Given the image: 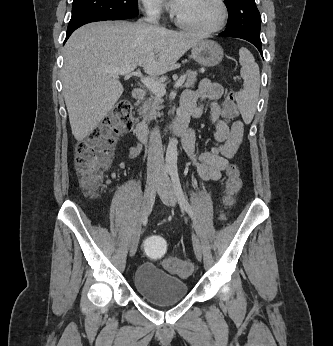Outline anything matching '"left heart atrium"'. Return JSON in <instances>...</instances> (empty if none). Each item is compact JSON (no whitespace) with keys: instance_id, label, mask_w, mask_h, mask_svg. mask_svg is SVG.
Listing matches in <instances>:
<instances>
[{"instance_id":"obj_1","label":"left heart atrium","mask_w":333,"mask_h":346,"mask_svg":"<svg viewBox=\"0 0 333 346\" xmlns=\"http://www.w3.org/2000/svg\"><path fill=\"white\" fill-rule=\"evenodd\" d=\"M185 0H168V3L171 9L175 12H178L183 6Z\"/></svg>"}]
</instances>
